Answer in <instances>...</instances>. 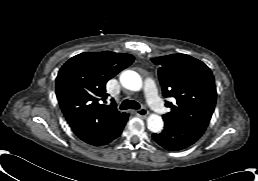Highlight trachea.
<instances>
[{
    "mask_svg": "<svg viewBox=\"0 0 258 181\" xmlns=\"http://www.w3.org/2000/svg\"><path fill=\"white\" fill-rule=\"evenodd\" d=\"M139 109L140 105L136 101H130V100H124L122 104L120 105L121 110H126V109Z\"/></svg>",
    "mask_w": 258,
    "mask_h": 181,
    "instance_id": "trachea-1",
    "label": "trachea"
}]
</instances>
